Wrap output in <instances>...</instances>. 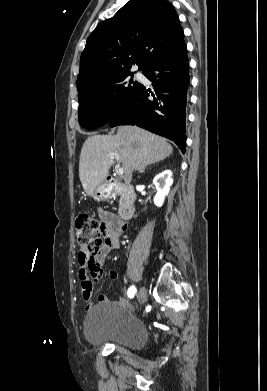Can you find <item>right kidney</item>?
I'll return each instance as SVG.
<instances>
[{
    "instance_id": "ca27d5eb",
    "label": "right kidney",
    "mask_w": 267,
    "mask_h": 391,
    "mask_svg": "<svg viewBox=\"0 0 267 391\" xmlns=\"http://www.w3.org/2000/svg\"><path fill=\"white\" fill-rule=\"evenodd\" d=\"M172 183V172L170 170H165L154 178L153 184L157 190L154 197V204L157 207H161L163 205L164 199L168 195Z\"/></svg>"
}]
</instances>
